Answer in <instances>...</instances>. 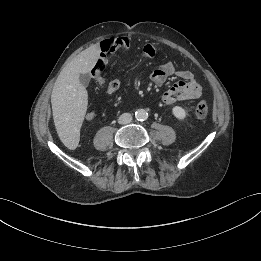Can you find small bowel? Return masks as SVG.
Here are the masks:
<instances>
[{
  "label": "small bowel",
  "mask_w": 261,
  "mask_h": 261,
  "mask_svg": "<svg viewBox=\"0 0 261 261\" xmlns=\"http://www.w3.org/2000/svg\"><path fill=\"white\" fill-rule=\"evenodd\" d=\"M130 47V40L125 37L107 38L100 43L99 57L95 65L94 72L100 75L103 71L108 54L115 53L120 50H127ZM140 54L145 58L153 59L157 55V49L152 43H146L142 46ZM171 76L179 78L177 82L172 84L162 96V102L165 105H172L178 101L194 100L201 96L202 88L195 79L192 72L184 69H178L173 62H167L158 66L151 73V80L158 86L164 85ZM120 80L113 79L107 83L110 93L117 91L120 87ZM95 118L94 112L86 114V120L91 121Z\"/></svg>",
  "instance_id": "1"
}]
</instances>
